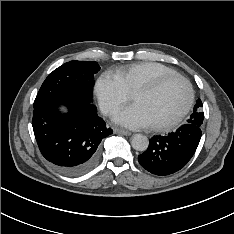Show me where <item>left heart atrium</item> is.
<instances>
[{
  "label": "left heart atrium",
  "mask_w": 234,
  "mask_h": 234,
  "mask_svg": "<svg viewBox=\"0 0 234 234\" xmlns=\"http://www.w3.org/2000/svg\"><path fill=\"white\" fill-rule=\"evenodd\" d=\"M114 121L128 128H141L151 125L148 116L137 104L116 112Z\"/></svg>",
  "instance_id": "39dd6f15"
}]
</instances>
